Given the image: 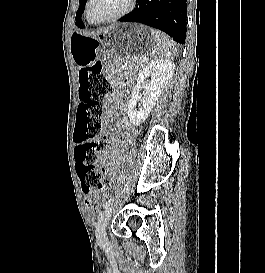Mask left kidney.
I'll use <instances>...</instances> for the list:
<instances>
[{
  "label": "left kidney",
  "instance_id": "5707ae66",
  "mask_svg": "<svg viewBox=\"0 0 265 273\" xmlns=\"http://www.w3.org/2000/svg\"><path fill=\"white\" fill-rule=\"evenodd\" d=\"M174 70V63L166 59L153 60L142 69L128 102V116L132 124L139 125L146 120L163 89L172 78ZM147 78L151 79L148 83L145 82ZM142 88L145 89L143 96L140 93ZM139 100L142 101V105L137 111L136 104Z\"/></svg>",
  "mask_w": 265,
  "mask_h": 273
}]
</instances>
